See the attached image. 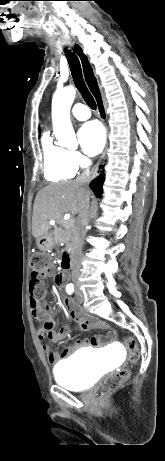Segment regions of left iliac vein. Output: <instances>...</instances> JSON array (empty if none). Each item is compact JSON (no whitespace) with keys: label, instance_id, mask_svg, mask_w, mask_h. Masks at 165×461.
<instances>
[{"label":"left iliac vein","instance_id":"obj_1","mask_svg":"<svg viewBox=\"0 0 165 461\" xmlns=\"http://www.w3.org/2000/svg\"><path fill=\"white\" fill-rule=\"evenodd\" d=\"M77 302L82 303L83 302V296L80 293H77Z\"/></svg>","mask_w":165,"mask_h":461}]
</instances>
